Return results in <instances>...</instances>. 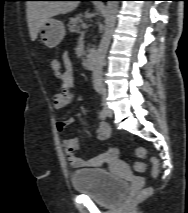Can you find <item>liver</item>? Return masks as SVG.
Wrapping results in <instances>:
<instances>
[{"instance_id":"liver-1","label":"liver","mask_w":188,"mask_h":213,"mask_svg":"<svg viewBox=\"0 0 188 213\" xmlns=\"http://www.w3.org/2000/svg\"><path fill=\"white\" fill-rule=\"evenodd\" d=\"M78 4L77 1H28L26 14L31 40H36L40 27L47 20L73 11Z\"/></svg>"}]
</instances>
